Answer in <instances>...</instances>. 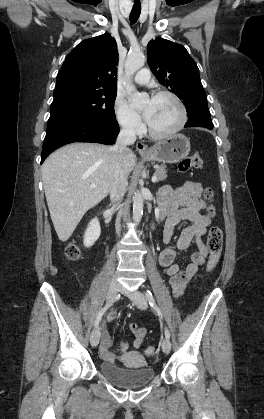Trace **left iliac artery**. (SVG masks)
<instances>
[{"label": "left iliac artery", "mask_w": 264, "mask_h": 419, "mask_svg": "<svg viewBox=\"0 0 264 419\" xmlns=\"http://www.w3.org/2000/svg\"><path fill=\"white\" fill-rule=\"evenodd\" d=\"M145 295H146V298H147L150 306L154 308V310L157 312V314L159 315V317L162 319V317H163L162 316V312H161L160 308L156 305L155 299H154L152 293L149 290H147L145 292ZM165 336L168 339L170 338V332H169V330L167 328H165Z\"/></svg>", "instance_id": "1"}]
</instances>
